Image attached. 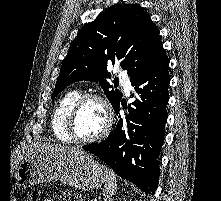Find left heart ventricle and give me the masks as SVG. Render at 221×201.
I'll return each mask as SVG.
<instances>
[{
	"label": "left heart ventricle",
	"mask_w": 221,
	"mask_h": 201,
	"mask_svg": "<svg viewBox=\"0 0 221 201\" xmlns=\"http://www.w3.org/2000/svg\"><path fill=\"white\" fill-rule=\"evenodd\" d=\"M105 110L96 100L86 102L80 109L74 129L81 138H90L100 133L105 126Z\"/></svg>",
	"instance_id": "left-heart-ventricle-1"
}]
</instances>
